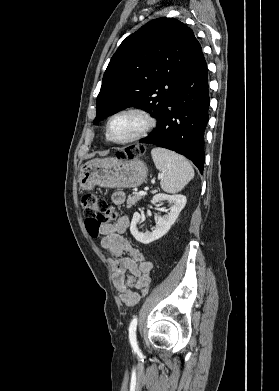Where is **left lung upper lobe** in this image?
Segmentation results:
<instances>
[{
    "instance_id": "left-lung-upper-lobe-1",
    "label": "left lung upper lobe",
    "mask_w": 279,
    "mask_h": 391,
    "mask_svg": "<svg viewBox=\"0 0 279 391\" xmlns=\"http://www.w3.org/2000/svg\"><path fill=\"white\" fill-rule=\"evenodd\" d=\"M202 48L193 31L173 18H158L128 36L104 73L94 124L134 106L158 121L176 88L192 71Z\"/></svg>"
}]
</instances>
